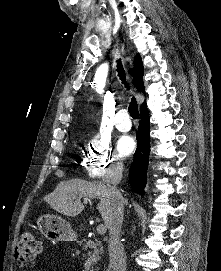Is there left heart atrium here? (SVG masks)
I'll list each match as a JSON object with an SVG mask.
<instances>
[{
  "instance_id": "39dd6f15",
  "label": "left heart atrium",
  "mask_w": 221,
  "mask_h": 271,
  "mask_svg": "<svg viewBox=\"0 0 221 271\" xmlns=\"http://www.w3.org/2000/svg\"><path fill=\"white\" fill-rule=\"evenodd\" d=\"M176 92H171L175 94ZM171 108V107H170ZM135 148V138L132 135H122L118 140V149L124 154H130Z\"/></svg>"
}]
</instances>
